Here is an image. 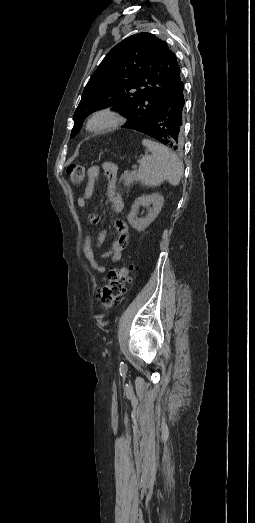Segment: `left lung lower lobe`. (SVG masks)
<instances>
[{"label": "left lung lower lobe", "instance_id": "left-lung-lower-lobe-1", "mask_svg": "<svg viewBox=\"0 0 255 523\" xmlns=\"http://www.w3.org/2000/svg\"><path fill=\"white\" fill-rule=\"evenodd\" d=\"M184 86L176 85L172 92L167 93V101H164L157 112V115H151L149 121L145 124L138 125L134 129H141L149 137H156L159 144L164 147H170L172 151L177 152L181 148V128L183 123L184 107L187 105V98L184 96ZM169 129V130H168Z\"/></svg>", "mask_w": 255, "mask_h": 523}]
</instances>
